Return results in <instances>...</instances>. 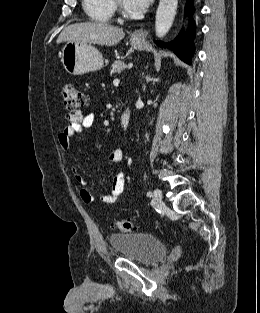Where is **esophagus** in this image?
<instances>
[{"mask_svg": "<svg viewBox=\"0 0 260 313\" xmlns=\"http://www.w3.org/2000/svg\"><path fill=\"white\" fill-rule=\"evenodd\" d=\"M148 30L147 28H141L138 30H135L132 34L133 39L138 41H144L147 37Z\"/></svg>", "mask_w": 260, "mask_h": 313, "instance_id": "esophagus-1", "label": "esophagus"}]
</instances>
